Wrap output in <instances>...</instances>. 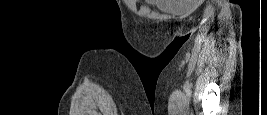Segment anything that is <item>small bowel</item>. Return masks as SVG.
Here are the masks:
<instances>
[{"instance_id":"1","label":"small bowel","mask_w":267,"mask_h":115,"mask_svg":"<svg viewBox=\"0 0 267 115\" xmlns=\"http://www.w3.org/2000/svg\"><path fill=\"white\" fill-rule=\"evenodd\" d=\"M148 3L168 12H187L198 5L197 0H149Z\"/></svg>"}]
</instances>
